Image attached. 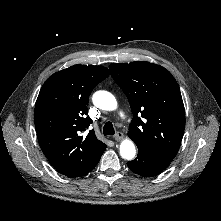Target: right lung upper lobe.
Wrapping results in <instances>:
<instances>
[{
	"label": "right lung upper lobe",
	"mask_w": 221,
	"mask_h": 221,
	"mask_svg": "<svg viewBox=\"0 0 221 221\" xmlns=\"http://www.w3.org/2000/svg\"><path fill=\"white\" fill-rule=\"evenodd\" d=\"M109 76L108 69L73 65L51 75L43 84L34 110L40 147L52 166L73 178L84 175L107 145L94 130L87 105L91 91Z\"/></svg>",
	"instance_id": "right-lung-upper-lobe-1"
}]
</instances>
